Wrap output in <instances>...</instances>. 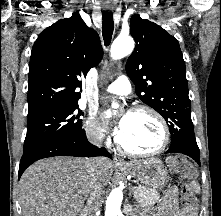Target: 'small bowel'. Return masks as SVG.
<instances>
[{
    "instance_id": "1",
    "label": "small bowel",
    "mask_w": 221,
    "mask_h": 216,
    "mask_svg": "<svg viewBox=\"0 0 221 216\" xmlns=\"http://www.w3.org/2000/svg\"><path fill=\"white\" fill-rule=\"evenodd\" d=\"M156 216H195V212L189 213L178 206V193L171 189L159 207Z\"/></svg>"
}]
</instances>
